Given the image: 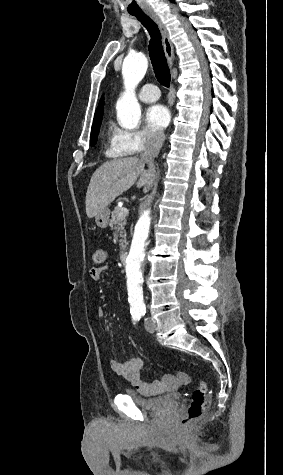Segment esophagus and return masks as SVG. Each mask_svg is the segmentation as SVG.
<instances>
[{"mask_svg":"<svg viewBox=\"0 0 283 475\" xmlns=\"http://www.w3.org/2000/svg\"><path fill=\"white\" fill-rule=\"evenodd\" d=\"M145 13L157 24L159 27V30L161 32V37H162V43H163V49L166 55V58L168 60V63L170 67L173 66L174 62V50H173V45L169 37V33L163 24L162 20L159 18V16L152 10H146ZM172 91L174 89L172 88Z\"/></svg>","mask_w":283,"mask_h":475,"instance_id":"34e87169","label":"esophagus"}]
</instances>
